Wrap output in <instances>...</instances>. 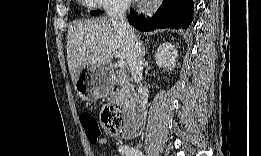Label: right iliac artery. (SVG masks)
I'll return each instance as SVG.
<instances>
[{
  "label": "right iliac artery",
  "mask_w": 261,
  "mask_h": 156,
  "mask_svg": "<svg viewBox=\"0 0 261 156\" xmlns=\"http://www.w3.org/2000/svg\"><path fill=\"white\" fill-rule=\"evenodd\" d=\"M119 151L121 152L122 155H125V156H142V152L133 148V147H130V146H121Z\"/></svg>",
  "instance_id": "82829eb1"
}]
</instances>
